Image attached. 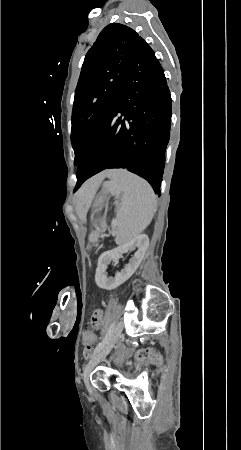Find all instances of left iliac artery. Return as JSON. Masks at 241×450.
I'll use <instances>...</instances> for the list:
<instances>
[{
    "label": "left iliac artery",
    "instance_id": "left-iliac-artery-1",
    "mask_svg": "<svg viewBox=\"0 0 241 450\" xmlns=\"http://www.w3.org/2000/svg\"><path fill=\"white\" fill-rule=\"evenodd\" d=\"M114 329H115V323H113V324L110 326V328H109V330H108V332H107L105 338H104V339H103V340L95 347L93 355H95L96 353H98V352L101 350V348L107 343V341H108L109 338L111 337V335H112Z\"/></svg>",
    "mask_w": 241,
    "mask_h": 450
}]
</instances>
